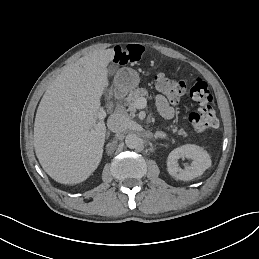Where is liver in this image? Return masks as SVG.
Instances as JSON below:
<instances>
[{
  "label": "liver",
  "mask_w": 259,
  "mask_h": 259,
  "mask_svg": "<svg viewBox=\"0 0 259 259\" xmlns=\"http://www.w3.org/2000/svg\"><path fill=\"white\" fill-rule=\"evenodd\" d=\"M113 49L93 50L66 66L52 81L34 122L35 154L60 184L86 181L103 157L106 126L96 121L100 99L110 86Z\"/></svg>",
  "instance_id": "6515ba94"
}]
</instances>
